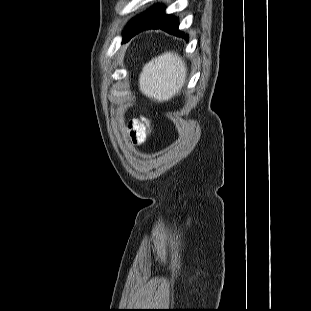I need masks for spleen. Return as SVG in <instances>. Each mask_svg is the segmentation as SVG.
I'll return each mask as SVG.
<instances>
[{
    "mask_svg": "<svg viewBox=\"0 0 311 311\" xmlns=\"http://www.w3.org/2000/svg\"><path fill=\"white\" fill-rule=\"evenodd\" d=\"M187 77V68L178 54L166 52L146 63L139 76L140 91L158 102L178 94Z\"/></svg>",
    "mask_w": 311,
    "mask_h": 311,
    "instance_id": "1",
    "label": "spleen"
}]
</instances>
